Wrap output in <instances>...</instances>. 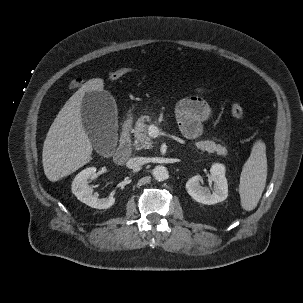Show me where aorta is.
<instances>
[{"mask_svg":"<svg viewBox=\"0 0 303 303\" xmlns=\"http://www.w3.org/2000/svg\"><path fill=\"white\" fill-rule=\"evenodd\" d=\"M153 177L157 181H164L168 178V170L162 165H158L153 169Z\"/></svg>","mask_w":303,"mask_h":303,"instance_id":"762f6f07","label":"aorta"}]
</instances>
